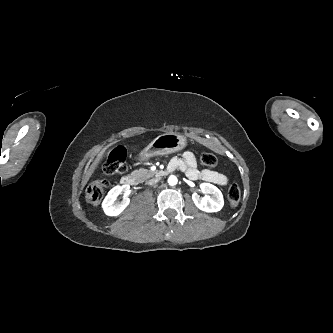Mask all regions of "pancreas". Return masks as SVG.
Here are the masks:
<instances>
[{"instance_id":"1","label":"pancreas","mask_w":333,"mask_h":333,"mask_svg":"<svg viewBox=\"0 0 333 333\" xmlns=\"http://www.w3.org/2000/svg\"><path fill=\"white\" fill-rule=\"evenodd\" d=\"M154 172L147 169H139L135 170L131 173V176L136 179L138 182H144L145 180L149 179L150 177L154 176Z\"/></svg>"}]
</instances>
